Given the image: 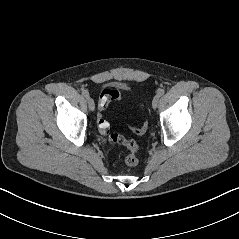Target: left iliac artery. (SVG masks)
I'll return each mask as SVG.
<instances>
[{"label": "left iliac artery", "instance_id": "1", "mask_svg": "<svg viewBox=\"0 0 239 239\" xmlns=\"http://www.w3.org/2000/svg\"><path fill=\"white\" fill-rule=\"evenodd\" d=\"M165 93V90L160 88L157 90V95L162 96Z\"/></svg>", "mask_w": 239, "mask_h": 239}]
</instances>
